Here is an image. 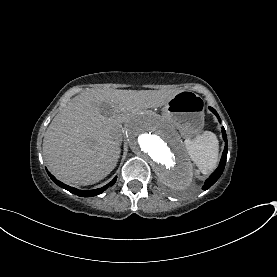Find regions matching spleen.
Wrapping results in <instances>:
<instances>
[{"instance_id":"spleen-1","label":"spleen","mask_w":277,"mask_h":277,"mask_svg":"<svg viewBox=\"0 0 277 277\" xmlns=\"http://www.w3.org/2000/svg\"><path fill=\"white\" fill-rule=\"evenodd\" d=\"M185 146L191 160L203 174H209L216 168L219 142L214 133L205 131L193 140L186 139Z\"/></svg>"}]
</instances>
